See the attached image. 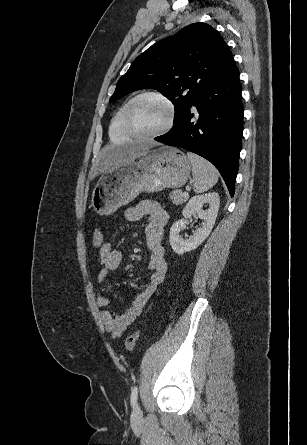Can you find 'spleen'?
I'll return each mask as SVG.
<instances>
[{"instance_id": "1", "label": "spleen", "mask_w": 307, "mask_h": 445, "mask_svg": "<svg viewBox=\"0 0 307 445\" xmlns=\"http://www.w3.org/2000/svg\"><path fill=\"white\" fill-rule=\"evenodd\" d=\"M187 156L192 164L194 192H205L212 188L219 178L217 168L194 152H187Z\"/></svg>"}]
</instances>
